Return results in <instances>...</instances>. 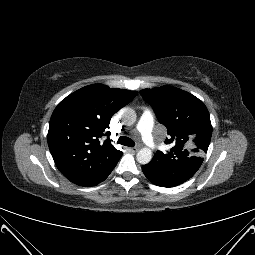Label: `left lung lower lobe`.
<instances>
[{
  "label": "left lung lower lobe",
  "mask_w": 255,
  "mask_h": 255,
  "mask_svg": "<svg viewBox=\"0 0 255 255\" xmlns=\"http://www.w3.org/2000/svg\"><path fill=\"white\" fill-rule=\"evenodd\" d=\"M142 171L145 174V176L155 185L161 186V187H174L179 184H176L174 182H171L165 178H162L158 176L157 174H154L149 169H147L145 166H142Z\"/></svg>",
  "instance_id": "obj_1"
}]
</instances>
